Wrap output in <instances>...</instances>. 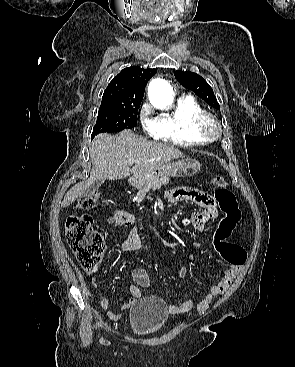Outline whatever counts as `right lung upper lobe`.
<instances>
[{
  "instance_id": "right-lung-upper-lobe-1",
  "label": "right lung upper lobe",
  "mask_w": 295,
  "mask_h": 367,
  "mask_svg": "<svg viewBox=\"0 0 295 367\" xmlns=\"http://www.w3.org/2000/svg\"><path fill=\"white\" fill-rule=\"evenodd\" d=\"M155 73V69H143L137 66L123 69L109 83L102 100L142 101L145 86Z\"/></svg>"
}]
</instances>
